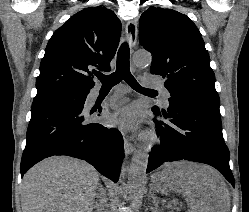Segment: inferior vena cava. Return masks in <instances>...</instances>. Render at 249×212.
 <instances>
[{
  "mask_svg": "<svg viewBox=\"0 0 249 212\" xmlns=\"http://www.w3.org/2000/svg\"><path fill=\"white\" fill-rule=\"evenodd\" d=\"M105 204H106V198H105V202H103V206H105ZM99 212H101V210H99Z\"/></svg>",
  "mask_w": 249,
  "mask_h": 212,
  "instance_id": "inferior-vena-cava-1",
  "label": "inferior vena cava"
}]
</instances>
